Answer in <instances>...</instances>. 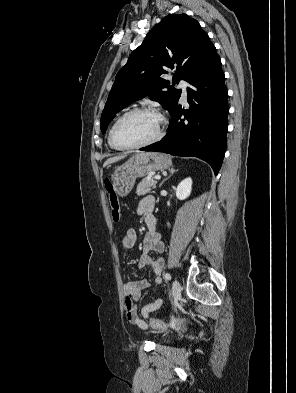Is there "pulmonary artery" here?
Returning <instances> with one entry per match:
<instances>
[{
	"instance_id": "1",
	"label": "pulmonary artery",
	"mask_w": 296,
	"mask_h": 393,
	"mask_svg": "<svg viewBox=\"0 0 296 393\" xmlns=\"http://www.w3.org/2000/svg\"><path fill=\"white\" fill-rule=\"evenodd\" d=\"M187 86H188V82L185 80H180L178 83V87L182 90V100L184 102L186 100Z\"/></svg>"
}]
</instances>
